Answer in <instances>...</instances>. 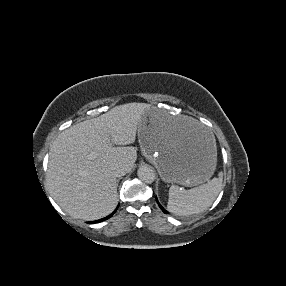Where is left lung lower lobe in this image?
Instances as JSON below:
<instances>
[{
  "instance_id": "obj_1",
  "label": "left lung lower lobe",
  "mask_w": 286,
  "mask_h": 286,
  "mask_svg": "<svg viewBox=\"0 0 286 286\" xmlns=\"http://www.w3.org/2000/svg\"><path fill=\"white\" fill-rule=\"evenodd\" d=\"M156 201H157L159 207L161 208V210H162L165 214H167L168 212L160 205V203L158 202L157 198H156Z\"/></svg>"
}]
</instances>
